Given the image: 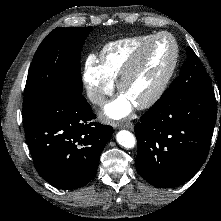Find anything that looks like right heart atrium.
<instances>
[{
	"instance_id": "1",
	"label": "right heart atrium",
	"mask_w": 221,
	"mask_h": 221,
	"mask_svg": "<svg viewBox=\"0 0 221 221\" xmlns=\"http://www.w3.org/2000/svg\"><path fill=\"white\" fill-rule=\"evenodd\" d=\"M83 80L89 100L97 106H102L114 90V82L105 75L93 56L85 61Z\"/></svg>"
}]
</instances>
